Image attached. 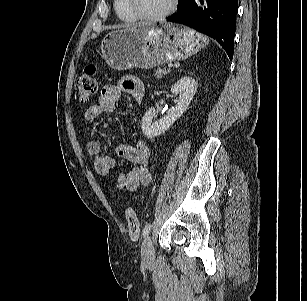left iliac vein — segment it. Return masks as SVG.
<instances>
[{"label":"left iliac vein","mask_w":307,"mask_h":301,"mask_svg":"<svg viewBox=\"0 0 307 301\" xmlns=\"http://www.w3.org/2000/svg\"><path fill=\"white\" fill-rule=\"evenodd\" d=\"M155 258L154 246L150 236H147L142 243V261L145 264H150Z\"/></svg>","instance_id":"1"}]
</instances>
